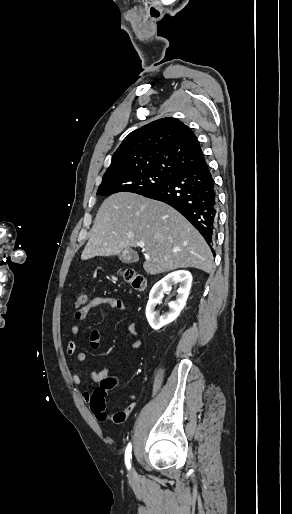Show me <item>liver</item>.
Returning a JSON list of instances; mask_svg holds the SVG:
<instances>
[{"label":"liver","instance_id":"obj_1","mask_svg":"<svg viewBox=\"0 0 292 514\" xmlns=\"http://www.w3.org/2000/svg\"><path fill=\"white\" fill-rule=\"evenodd\" d=\"M140 244L147 256L143 268L152 276L177 268H198L209 274L213 268L208 244L184 216L163 202L130 192L104 200L81 260L117 256Z\"/></svg>","mask_w":292,"mask_h":514}]
</instances>
